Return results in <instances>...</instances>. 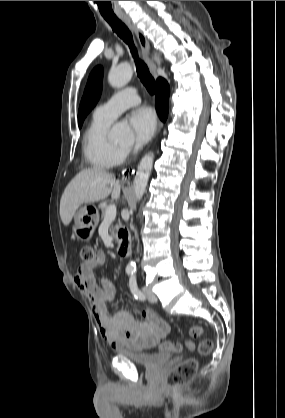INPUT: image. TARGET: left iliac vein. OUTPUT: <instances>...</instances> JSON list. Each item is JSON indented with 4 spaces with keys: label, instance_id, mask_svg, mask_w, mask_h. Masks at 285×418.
Listing matches in <instances>:
<instances>
[{
    "label": "left iliac vein",
    "instance_id": "left-iliac-vein-1",
    "mask_svg": "<svg viewBox=\"0 0 285 418\" xmlns=\"http://www.w3.org/2000/svg\"><path fill=\"white\" fill-rule=\"evenodd\" d=\"M142 291H143L144 296H145V297H146L149 301H151V302H155V301H156V296H155V294L152 292V290H151L149 287L144 286V287L142 288Z\"/></svg>",
    "mask_w": 285,
    "mask_h": 418
}]
</instances>
